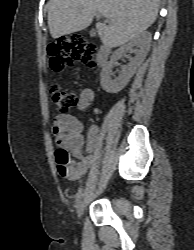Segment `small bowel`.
<instances>
[{"instance_id": "obj_1", "label": "small bowel", "mask_w": 194, "mask_h": 250, "mask_svg": "<svg viewBox=\"0 0 194 250\" xmlns=\"http://www.w3.org/2000/svg\"><path fill=\"white\" fill-rule=\"evenodd\" d=\"M94 100V93L90 88L82 90L79 97L80 107H88ZM84 125L75 116L67 113L55 117L52 132L56 144L71 154L76 161H71L65 169L58 165V172L69 180L82 177L92 163V151L98 141V128L93 125L89 128L87 138L83 135Z\"/></svg>"}]
</instances>
